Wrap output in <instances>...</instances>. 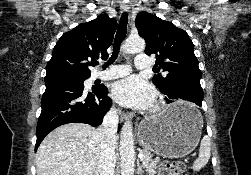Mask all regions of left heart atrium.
<instances>
[{"label": "left heart atrium", "instance_id": "39dd6f15", "mask_svg": "<svg viewBox=\"0 0 251 175\" xmlns=\"http://www.w3.org/2000/svg\"><path fill=\"white\" fill-rule=\"evenodd\" d=\"M112 95L119 103L138 108L151 107L156 97L154 89L139 76H129L115 82Z\"/></svg>", "mask_w": 251, "mask_h": 175}]
</instances>
